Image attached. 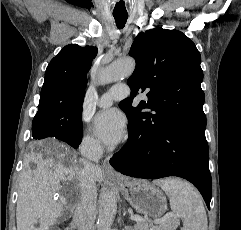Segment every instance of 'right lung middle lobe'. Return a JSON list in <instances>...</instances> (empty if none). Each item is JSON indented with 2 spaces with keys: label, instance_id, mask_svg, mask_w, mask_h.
<instances>
[{
  "label": "right lung middle lobe",
  "instance_id": "1",
  "mask_svg": "<svg viewBox=\"0 0 241 230\" xmlns=\"http://www.w3.org/2000/svg\"><path fill=\"white\" fill-rule=\"evenodd\" d=\"M32 137L36 140L55 137L68 144L80 143L82 108H60L37 113L32 122Z\"/></svg>",
  "mask_w": 241,
  "mask_h": 230
}]
</instances>
